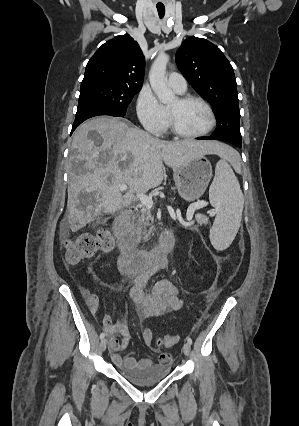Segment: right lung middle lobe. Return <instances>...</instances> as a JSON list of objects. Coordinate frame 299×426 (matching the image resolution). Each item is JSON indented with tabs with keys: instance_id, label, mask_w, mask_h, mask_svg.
<instances>
[{
	"instance_id": "obj_1",
	"label": "right lung middle lobe",
	"mask_w": 299,
	"mask_h": 426,
	"mask_svg": "<svg viewBox=\"0 0 299 426\" xmlns=\"http://www.w3.org/2000/svg\"><path fill=\"white\" fill-rule=\"evenodd\" d=\"M141 88L119 86L109 83L81 85L78 108L87 105H100L124 114L127 107Z\"/></svg>"
}]
</instances>
